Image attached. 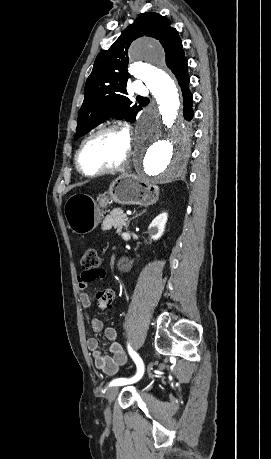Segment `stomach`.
I'll return each instance as SVG.
<instances>
[{
    "label": "stomach",
    "instance_id": "0dacf381",
    "mask_svg": "<svg viewBox=\"0 0 271 459\" xmlns=\"http://www.w3.org/2000/svg\"><path fill=\"white\" fill-rule=\"evenodd\" d=\"M107 194L117 204L151 206L159 198V188L150 180L125 172L111 182ZM107 204H110L109 198L104 194L97 202L87 194H73L64 208L68 228L81 235L93 231L102 220L100 208H106Z\"/></svg>",
    "mask_w": 271,
    "mask_h": 459
}]
</instances>
